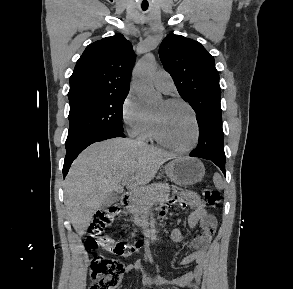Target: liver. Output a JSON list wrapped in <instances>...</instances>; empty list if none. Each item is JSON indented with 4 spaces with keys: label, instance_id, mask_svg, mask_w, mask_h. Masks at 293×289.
Segmentation results:
<instances>
[{
    "label": "liver",
    "instance_id": "6515ba94",
    "mask_svg": "<svg viewBox=\"0 0 293 289\" xmlns=\"http://www.w3.org/2000/svg\"><path fill=\"white\" fill-rule=\"evenodd\" d=\"M176 156L143 141L115 138L92 144L73 162L65 180V206L79 236L106 197L122 190L132 177L136 186L149 183L166 161Z\"/></svg>",
    "mask_w": 293,
    "mask_h": 289
}]
</instances>
